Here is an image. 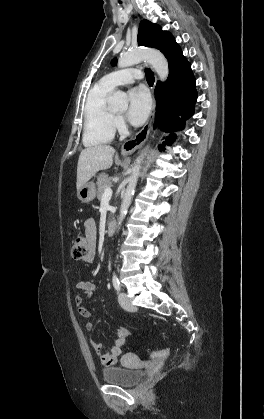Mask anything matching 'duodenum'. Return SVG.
Listing matches in <instances>:
<instances>
[{
    "mask_svg": "<svg viewBox=\"0 0 264 419\" xmlns=\"http://www.w3.org/2000/svg\"><path fill=\"white\" fill-rule=\"evenodd\" d=\"M116 226H117V223H116L115 220L109 221L106 225V234L108 236H111L112 234H114V232L116 230Z\"/></svg>",
    "mask_w": 264,
    "mask_h": 419,
    "instance_id": "obj_1",
    "label": "duodenum"
}]
</instances>
